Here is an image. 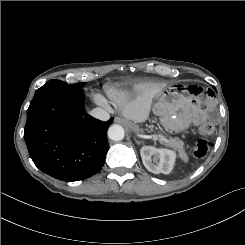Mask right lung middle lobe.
Listing matches in <instances>:
<instances>
[{
    "label": "right lung middle lobe",
    "instance_id": "dd1d6c3e",
    "mask_svg": "<svg viewBox=\"0 0 245 245\" xmlns=\"http://www.w3.org/2000/svg\"><path fill=\"white\" fill-rule=\"evenodd\" d=\"M85 85L84 82L81 83H76V84H67L66 82L60 81V80H49L48 82H46L45 85H43L41 88H39L35 93L39 92L42 89L48 88V87H63V86H70V87H77V88H81Z\"/></svg>",
    "mask_w": 245,
    "mask_h": 245
}]
</instances>
